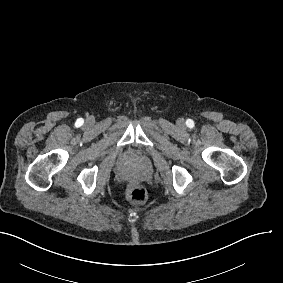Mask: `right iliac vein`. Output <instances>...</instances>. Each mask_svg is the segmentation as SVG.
Masks as SVG:
<instances>
[{"mask_svg": "<svg viewBox=\"0 0 283 283\" xmlns=\"http://www.w3.org/2000/svg\"><path fill=\"white\" fill-rule=\"evenodd\" d=\"M87 121H88L89 123H91V122H92V118H89Z\"/></svg>", "mask_w": 283, "mask_h": 283, "instance_id": "63e3f726", "label": "right iliac vein"}]
</instances>
